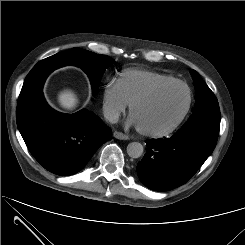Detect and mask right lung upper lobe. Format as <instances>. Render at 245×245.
I'll return each mask as SVG.
<instances>
[{"label":"right lung upper lobe","mask_w":245,"mask_h":245,"mask_svg":"<svg viewBox=\"0 0 245 245\" xmlns=\"http://www.w3.org/2000/svg\"><path fill=\"white\" fill-rule=\"evenodd\" d=\"M58 67L51 62V57L41 60L34 66L36 75H33V71L27 75L24 84L30 83L33 88V92L38 94L41 92L43 83L50 72L57 69Z\"/></svg>","instance_id":"1"}]
</instances>
